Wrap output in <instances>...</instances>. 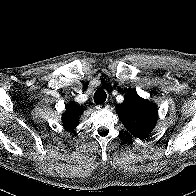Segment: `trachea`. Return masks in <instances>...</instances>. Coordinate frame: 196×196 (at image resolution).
<instances>
[{
  "instance_id": "1",
  "label": "trachea",
  "mask_w": 196,
  "mask_h": 196,
  "mask_svg": "<svg viewBox=\"0 0 196 196\" xmlns=\"http://www.w3.org/2000/svg\"><path fill=\"white\" fill-rule=\"evenodd\" d=\"M93 98H94V102L96 104H103L106 101L107 94H106V92L102 88H99L94 93V97Z\"/></svg>"
}]
</instances>
